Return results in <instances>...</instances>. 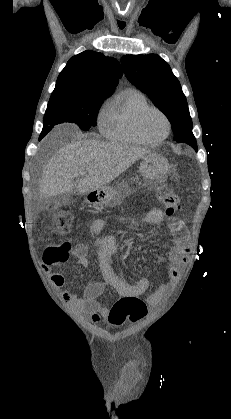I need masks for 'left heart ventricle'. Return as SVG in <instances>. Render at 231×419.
Wrapping results in <instances>:
<instances>
[{
    "label": "left heart ventricle",
    "instance_id": "obj_1",
    "mask_svg": "<svg viewBox=\"0 0 231 419\" xmlns=\"http://www.w3.org/2000/svg\"><path fill=\"white\" fill-rule=\"evenodd\" d=\"M142 129L148 138L158 139L165 134L167 125L161 114L156 111H150L143 119Z\"/></svg>",
    "mask_w": 231,
    "mask_h": 419
}]
</instances>
